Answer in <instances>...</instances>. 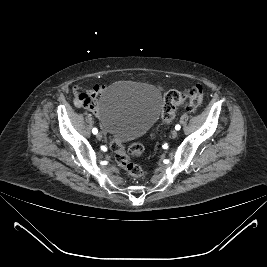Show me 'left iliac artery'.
Wrapping results in <instances>:
<instances>
[{
	"instance_id": "left-iliac-artery-1",
	"label": "left iliac artery",
	"mask_w": 267,
	"mask_h": 267,
	"mask_svg": "<svg viewBox=\"0 0 267 267\" xmlns=\"http://www.w3.org/2000/svg\"><path fill=\"white\" fill-rule=\"evenodd\" d=\"M180 128H181V127H180V125H178V124L175 126V129H176V130H179Z\"/></svg>"
}]
</instances>
